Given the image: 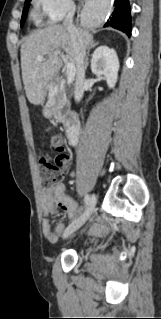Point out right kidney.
<instances>
[{"mask_svg": "<svg viewBox=\"0 0 161 319\" xmlns=\"http://www.w3.org/2000/svg\"><path fill=\"white\" fill-rule=\"evenodd\" d=\"M119 70V60L114 49L107 46L98 47L91 59V71L106 78L109 88H114Z\"/></svg>", "mask_w": 161, "mask_h": 319, "instance_id": "1", "label": "right kidney"}]
</instances>
